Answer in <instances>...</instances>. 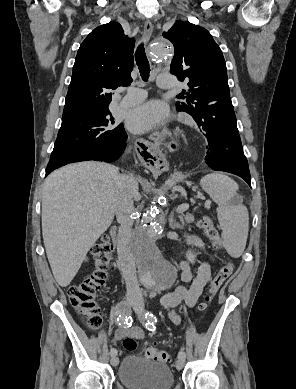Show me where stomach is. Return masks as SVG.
Segmentation results:
<instances>
[{
  "label": "stomach",
  "instance_id": "1",
  "mask_svg": "<svg viewBox=\"0 0 296 389\" xmlns=\"http://www.w3.org/2000/svg\"><path fill=\"white\" fill-rule=\"evenodd\" d=\"M149 173L154 179L159 180L162 178V169H149Z\"/></svg>",
  "mask_w": 296,
  "mask_h": 389
}]
</instances>
